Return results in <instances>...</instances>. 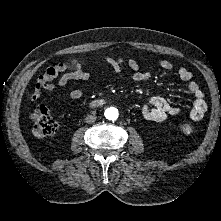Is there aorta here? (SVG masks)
Listing matches in <instances>:
<instances>
[{
	"label": "aorta",
	"mask_w": 221,
	"mask_h": 221,
	"mask_svg": "<svg viewBox=\"0 0 221 221\" xmlns=\"http://www.w3.org/2000/svg\"><path fill=\"white\" fill-rule=\"evenodd\" d=\"M104 115L108 120H116L119 116L118 109L115 107H109L105 110Z\"/></svg>",
	"instance_id": "1"
}]
</instances>
